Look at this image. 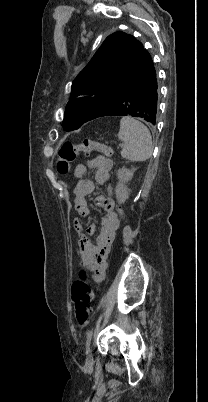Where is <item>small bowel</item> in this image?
Returning a JSON list of instances; mask_svg holds the SVG:
<instances>
[{
    "mask_svg": "<svg viewBox=\"0 0 208 402\" xmlns=\"http://www.w3.org/2000/svg\"><path fill=\"white\" fill-rule=\"evenodd\" d=\"M112 167V160L103 156L92 157L75 167L74 174L79 180L74 190L75 207L79 214L87 216L90 212L86 197L94 191L95 183L88 177L89 171L96 170L95 182L103 186L109 181ZM108 192L111 193L110 187H108ZM98 204L103 208L105 214L102 217L100 232L94 242L85 237L79 219L75 218L72 222L77 236L78 255L83 264L93 272V279L96 282L102 281L105 277L106 258L120 226L111 197H99ZM88 232L91 234L96 232L94 223L89 225Z\"/></svg>",
    "mask_w": 208,
    "mask_h": 402,
    "instance_id": "c3829d8e",
    "label": "small bowel"
}]
</instances>
